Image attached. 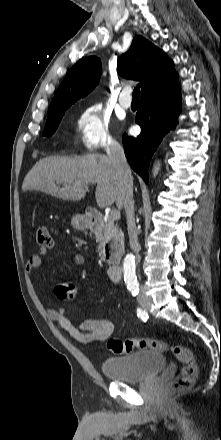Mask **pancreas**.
Listing matches in <instances>:
<instances>
[{"mask_svg":"<svg viewBox=\"0 0 221 440\" xmlns=\"http://www.w3.org/2000/svg\"><path fill=\"white\" fill-rule=\"evenodd\" d=\"M96 241L100 243L99 250L102 251L107 242L113 240L114 243H118L116 249L117 259L120 260L123 255V236L118 226L108 218L104 224L94 231Z\"/></svg>","mask_w":221,"mask_h":440,"instance_id":"cf45deb5","label":"pancreas"}]
</instances>
